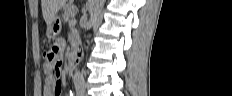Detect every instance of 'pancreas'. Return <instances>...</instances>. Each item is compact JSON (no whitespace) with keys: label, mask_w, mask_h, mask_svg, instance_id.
<instances>
[{"label":"pancreas","mask_w":232,"mask_h":96,"mask_svg":"<svg viewBox=\"0 0 232 96\" xmlns=\"http://www.w3.org/2000/svg\"><path fill=\"white\" fill-rule=\"evenodd\" d=\"M76 13H77L76 7L67 6L64 9V14L62 15L63 22H67L68 20L72 19Z\"/></svg>","instance_id":"obj_1"}]
</instances>
